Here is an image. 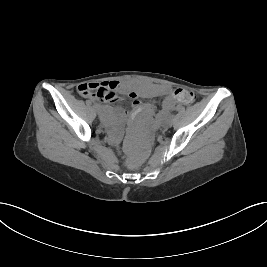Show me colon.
<instances>
[{"mask_svg": "<svg viewBox=\"0 0 267 267\" xmlns=\"http://www.w3.org/2000/svg\"><path fill=\"white\" fill-rule=\"evenodd\" d=\"M83 97H98L103 100L111 101L116 98V92L113 87H106L103 83L99 85L92 83H85L80 90ZM174 96L179 103L191 104L194 102L196 95L193 91L188 89H177Z\"/></svg>", "mask_w": 267, "mask_h": 267, "instance_id": "5ec220e1", "label": "colon"}]
</instances>
